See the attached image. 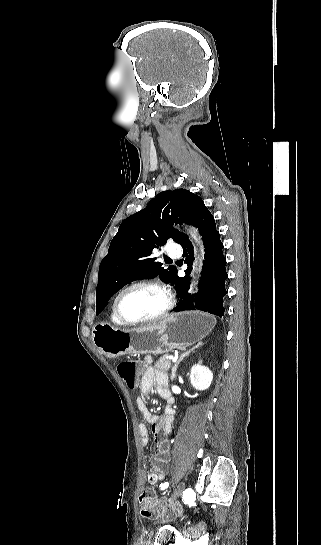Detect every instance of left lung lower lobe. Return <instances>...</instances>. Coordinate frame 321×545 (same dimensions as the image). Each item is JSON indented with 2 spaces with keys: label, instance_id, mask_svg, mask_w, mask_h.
<instances>
[{
  "label": "left lung lower lobe",
  "instance_id": "left-lung-lower-lobe-1",
  "mask_svg": "<svg viewBox=\"0 0 321 545\" xmlns=\"http://www.w3.org/2000/svg\"><path fill=\"white\" fill-rule=\"evenodd\" d=\"M189 224L198 227L204 241L205 260L203 262L202 277L199 291L194 295H189V274L194 260V251L188 237L184 235L179 244L183 247L184 262L188 265V269L185 271L187 275L181 278L177 276L176 272L171 281L180 292L179 303L173 311L198 309L222 317L225 312L223 298L227 293L224 284L228 274L225 269L226 258L223 255V244L220 240L219 231L216 228L213 215L205 204L197 206Z\"/></svg>",
  "mask_w": 321,
  "mask_h": 545
}]
</instances>
